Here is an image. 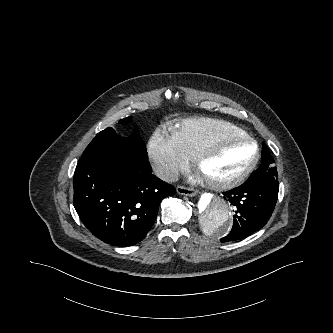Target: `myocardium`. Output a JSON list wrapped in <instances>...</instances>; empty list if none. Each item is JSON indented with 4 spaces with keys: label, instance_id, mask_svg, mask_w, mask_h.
Masks as SVG:
<instances>
[{
    "label": "myocardium",
    "instance_id": "obj_1",
    "mask_svg": "<svg viewBox=\"0 0 333 333\" xmlns=\"http://www.w3.org/2000/svg\"><path fill=\"white\" fill-rule=\"evenodd\" d=\"M229 140H240L250 143L254 147V154L250 162L236 175L231 178L225 180H212L208 178H204L205 183L214 190L222 191L228 190L236 187L241 184L255 169L258 164L260 158V149L258 142L249 135H240V134H222L219 135L210 141H208L204 146L200 148V150L196 153L193 158V165L197 171H199L200 166L204 162V160L209 156V154L213 151L215 147H217L220 143Z\"/></svg>",
    "mask_w": 333,
    "mask_h": 333
}]
</instances>
